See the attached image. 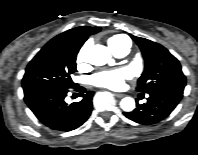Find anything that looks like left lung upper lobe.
<instances>
[{
  "instance_id": "5c2ea615",
  "label": "left lung upper lobe",
  "mask_w": 198,
  "mask_h": 155,
  "mask_svg": "<svg viewBox=\"0 0 198 155\" xmlns=\"http://www.w3.org/2000/svg\"><path fill=\"white\" fill-rule=\"evenodd\" d=\"M145 59V70L138 80L137 90L152 93L159 90L183 92L186 77L179 61L162 45L131 35Z\"/></svg>"
}]
</instances>
